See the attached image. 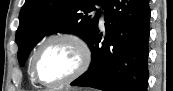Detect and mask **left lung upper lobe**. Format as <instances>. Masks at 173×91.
<instances>
[{
    "mask_svg": "<svg viewBox=\"0 0 173 91\" xmlns=\"http://www.w3.org/2000/svg\"><path fill=\"white\" fill-rule=\"evenodd\" d=\"M107 0H25L19 14V27L16 32L18 60L24 65L30 51L45 35L54 32L73 33L87 43L98 28L100 11L96 5Z\"/></svg>",
    "mask_w": 173,
    "mask_h": 91,
    "instance_id": "left-lung-upper-lobe-1",
    "label": "left lung upper lobe"
}]
</instances>
